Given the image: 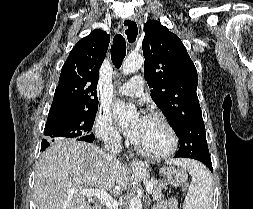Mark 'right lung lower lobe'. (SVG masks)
Here are the masks:
<instances>
[{
	"mask_svg": "<svg viewBox=\"0 0 253 209\" xmlns=\"http://www.w3.org/2000/svg\"><path fill=\"white\" fill-rule=\"evenodd\" d=\"M94 139H95V136L92 135L90 138H87L86 140H81V141L93 142Z\"/></svg>",
	"mask_w": 253,
	"mask_h": 209,
	"instance_id": "obj_1",
	"label": "right lung lower lobe"
}]
</instances>
